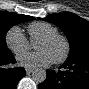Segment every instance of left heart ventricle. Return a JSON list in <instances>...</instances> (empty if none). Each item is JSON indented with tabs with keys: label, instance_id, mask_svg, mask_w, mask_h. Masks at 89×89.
<instances>
[{
	"label": "left heart ventricle",
	"instance_id": "left-heart-ventricle-1",
	"mask_svg": "<svg viewBox=\"0 0 89 89\" xmlns=\"http://www.w3.org/2000/svg\"><path fill=\"white\" fill-rule=\"evenodd\" d=\"M34 47L38 51L48 52L53 60L60 57L65 50V45L60 39L54 40L52 42L37 41Z\"/></svg>",
	"mask_w": 89,
	"mask_h": 89
}]
</instances>
